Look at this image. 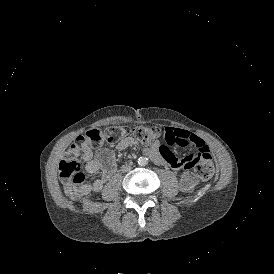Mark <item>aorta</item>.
Segmentation results:
<instances>
[{"instance_id": "1", "label": "aorta", "mask_w": 274, "mask_h": 274, "mask_svg": "<svg viewBox=\"0 0 274 274\" xmlns=\"http://www.w3.org/2000/svg\"><path fill=\"white\" fill-rule=\"evenodd\" d=\"M147 163H148V160H147L146 157H140V158L138 159V164H139L140 166H145V165H147Z\"/></svg>"}]
</instances>
